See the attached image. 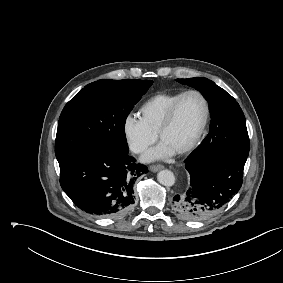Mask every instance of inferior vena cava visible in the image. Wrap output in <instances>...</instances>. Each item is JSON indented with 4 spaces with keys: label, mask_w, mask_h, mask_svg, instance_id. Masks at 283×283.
Segmentation results:
<instances>
[{
    "label": "inferior vena cava",
    "mask_w": 283,
    "mask_h": 283,
    "mask_svg": "<svg viewBox=\"0 0 283 283\" xmlns=\"http://www.w3.org/2000/svg\"><path fill=\"white\" fill-rule=\"evenodd\" d=\"M142 150H143L142 148H138V149H137L138 152H139V151H142Z\"/></svg>",
    "instance_id": "1"
}]
</instances>
